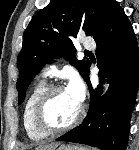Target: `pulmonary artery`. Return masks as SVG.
I'll return each mask as SVG.
<instances>
[{
  "label": "pulmonary artery",
  "mask_w": 139,
  "mask_h": 150,
  "mask_svg": "<svg viewBox=\"0 0 139 150\" xmlns=\"http://www.w3.org/2000/svg\"><path fill=\"white\" fill-rule=\"evenodd\" d=\"M95 42L91 38H86L83 41V47L86 50H92L95 48Z\"/></svg>",
  "instance_id": "pulmonary-artery-1"
}]
</instances>
